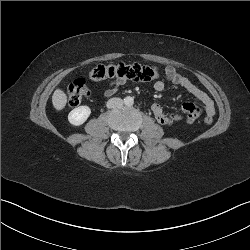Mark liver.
<instances>
[{
  "label": "liver",
  "instance_id": "1",
  "mask_svg": "<svg viewBox=\"0 0 250 250\" xmlns=\"http://www.w3.org/2000/svg\"><path fill=\"white\" fill-rule=\"evenodd\" d=\"M52 103L56 110H62L67 103V95L61 89H56L52 95Z\"/></svg>",
  "mask_w": 250,
  "mask_h": 250
}]
</instances>
